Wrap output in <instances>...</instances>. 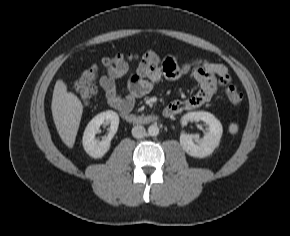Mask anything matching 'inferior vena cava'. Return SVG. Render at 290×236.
Masks as SVG:
<instances>
[{
	"instance_id": "602c4592",
	"label": "inferior vena cava",
	"mask_w": 290,
	"mask_h": 236,
	"mask_svg": "<svg viewBox=\"0 0 290 236\" xmlns=\"http://www.w3.org/2000/svg\"><path fill=\"white\" fill-rule=\"evenodd\" d=\"M132 135L135 138H143L146 135V130L142 125H137L132 128Z\"/></svg>"
}]
</instances>
